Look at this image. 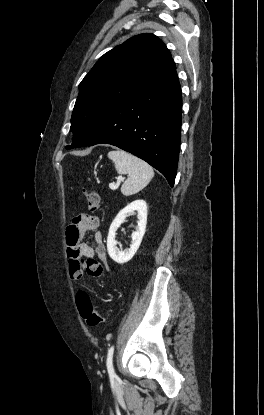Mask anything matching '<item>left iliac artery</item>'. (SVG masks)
<instances>
[{"label":"left iliac artery","mask_w":264,"mask_h":415,"mask_svg":"<svg viewBox=\"0 0 264 415\" xmlns=\"http://www.w3.org/2000/svg\"><path fill=\"white\" fill-rule=\"evenodd\" d=\"M113 352H114V346H112L109 349L108 354H107V360H106L107 370L111 378L115 377V372H114L113 362H112Z\"/></svg>","instance_id":"44dca946"}]
</instances>
